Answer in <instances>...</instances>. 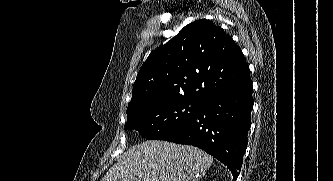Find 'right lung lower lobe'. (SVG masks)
Returning <instances> with one entry per match:
<instances>
[{"label":"right lung lower lobe","instance_id":"right-lung-lower-lobe-1","mask_svg":"<svg viewBox=\"0 0 333 181\" xmlns=\"http://www.w3.org/2000/svg\"><path fill=\"white\" fill-rule=\"evenodd\" d=\"M252 81L205 97L197 113L169 142L193 145L218 159L236 180L248 144Z\"/></svg>","mask_w":333,"mask_h":181}]
</instances>
